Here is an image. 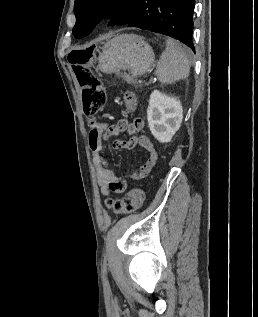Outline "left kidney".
<instances>
[{
    "instance_id": "left-kidney-1",
    "label": "left kidney",
    "mask_w": 258,
    "mask_h": 317,
    "mask_svg": "<svg viewBox=\"0 0 258 317\" xmlns=\"http://www.w3.org/2000/svg\"><path fill=\"white\" fill-rule=\"evenodd\" d=\"M149 128L159 142H170L180 128L183 108L177 96H168L160 90H153L147 108Z\"/></svg>"
}]
</instances>
